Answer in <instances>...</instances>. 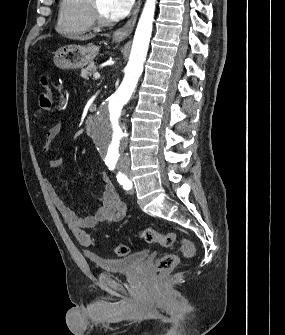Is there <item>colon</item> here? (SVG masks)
I'll return each mask as SVG.
<instances>
[{
	"mask_svg": "<svg viewBox=\"0 0 285 335\" xmlns=\"http://www.w3.org/2000/svg\"><path fill=\"white\" fill-rule=\"evenodd\" d=\"M41 85L42 89L38 97V111L47 113L51 109L53 96L46 75L41 76ZM139 235L147 243H156L164 247H172L178 244L180 253L185 258H190L195 254V245L190 240L182 238L176 233L163 234L151 227H147L141 230ZM129 251V247L124 244H120L115 248V253L118 256H125ZM180 260L181 258L177 254H167L161 257L155 265V275L162 277L169 274L180 263Z\"/></svg>",
	"mask_w": 285,
	"mask_h": 335,
	"instance_id": "colon-1",
	"label": "colon"
}]
</instances>
